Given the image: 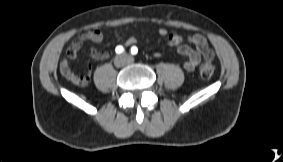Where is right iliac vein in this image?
I'll return each mask as SVG.
<instances>
[{
  "label": "right iliac vein",
  "instance_id": "obj_1",
  "mask_svg": "<svg viewBox=\"0 0 283 162\" xmlns=\"http://www.w3.org/2000/svg\"><path fill=\"white\" fill-rule=\"evenodd\" d=\"M121 62H122L121 59L116 60V64H120Z\"/></svg>",
  "mask_w": 283,
  "mask_h": 162
}]
</instances>
